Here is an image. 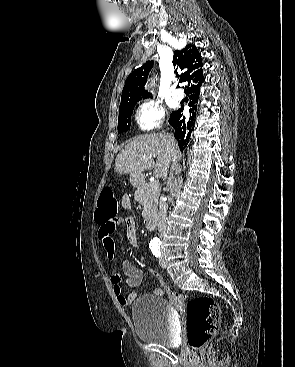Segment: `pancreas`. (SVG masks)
Listing matches in <instances>:
<instances>
[{
    "label": "pancreas",
    "instance_id": "1",
    "mask_svg": "<svg viewBox=\"0 0 295 367\" xmlns=\"http://www.w3.org/2000/svg\"><path fill=\"white\" fill-rule=\"evenodd\" d=\"M159 190L153 186V183H143L135 191V199L142 204V216L156 212L158 204Z\"/></svg>",
    "mask_w": 295,
    "mask_h": 367
}]
</instances>
